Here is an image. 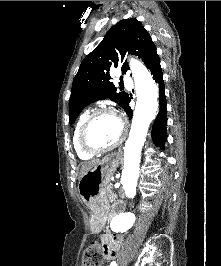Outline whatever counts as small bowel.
<instances>
[{"label":"small bowel","instance_id":"c3829d8e","mask_svg":"<svg viewBox=\"0 0 221 266\" xmlns=\"http://www.w3.org/2000/svg\"><path fill=\"white\" fill-rule=\"evenodd\" d=\"M118 214L114 213L112 217H116ZM123 242L121 235L109 232L102 236L103 243V255L106 259L115 258L119 252Z\"/></svg>","mask_w":221,"mask_h":266}]
</instances>
